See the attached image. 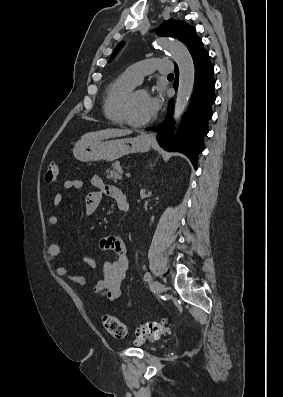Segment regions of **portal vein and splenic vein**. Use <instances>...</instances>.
<instances>
[{
    "mask_svg": "<svg viewBox=\"0 0 283 397\" xmlns=\"http://www.w3.org/2000/svg\"><path fill=\"white\" fill-rule=\"evenodd\" d=\"M125 175H126V177H128V178L131 177V174H130V173H126Z\"/></svg>",
    "mask_w": 283,
    "mask_h": 397,
    "instance_id": "1",
    "label": "portal vein and splenic vein"
}]
</instances>
